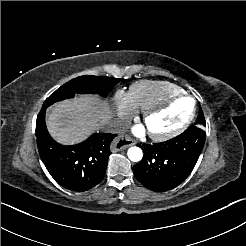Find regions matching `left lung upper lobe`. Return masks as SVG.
<instances>
[{
	"label": "left lung upper lobe",
	"mask_w": 246,
	"mask_h": 246,
	"mask_svg": "<svg viewBox=\"0 0 246 246\" xmlns=\"http://www.w3.org/2000/svg\"><path fill=\"white\" fill-rule=\"evenodd\" d=\"M194 125L202 128V129L206 126V122H205V118H204V114H203L202 110H200V113H199Z\"/></svg>",
	"instance_id": "1"
}]
</instances>
